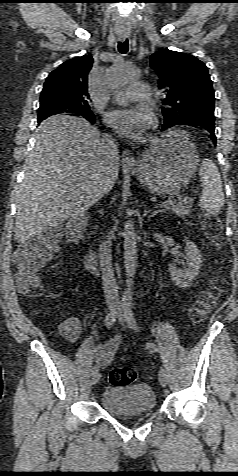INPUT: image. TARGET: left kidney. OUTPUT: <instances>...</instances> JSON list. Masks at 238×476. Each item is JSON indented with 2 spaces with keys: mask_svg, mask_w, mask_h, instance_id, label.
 <instances>
[{
  "mask_svg": "<svg viewBox=\"0 0 238 476\" xmlns=\"http://www.w3.org/2000/svg\"><path fill=\"white\" fill-rule=\"evenodd\" d=\"M185 247L186 267L184 270L179 269L176 261L170 263L169 272L174 283L180 288L190 287L192 281L199 274L202 265L201 253L198 247L190 242L187 238Z\"/></svg>",
  "mask_w": 238,
  "mask_h": 476,
  "instance_id": "5707ae66",
  "label": "left kidney"
}]
</instances>
